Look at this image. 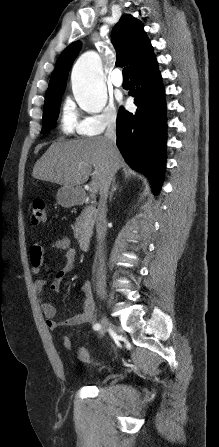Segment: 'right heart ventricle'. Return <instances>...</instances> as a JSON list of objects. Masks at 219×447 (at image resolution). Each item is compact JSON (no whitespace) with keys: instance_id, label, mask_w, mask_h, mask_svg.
<instances>
[{"instance_id":"obj_1","label":"right heart ventricle","mask_w":219,"mask_h":447,"mask_svg":"<svg viewBox=\"0 0 219 447\" xmlns=\"http://www.w3.org/2000/svg\"><path fill=\"white\" fill-rule=\"evenodd\" d=\"M61 129L65 135H72L75 133L84 134L81 128V121L78 119L76 111L69 103H66L64 106L61 118Z\"/></svg>"}]
</instances>
